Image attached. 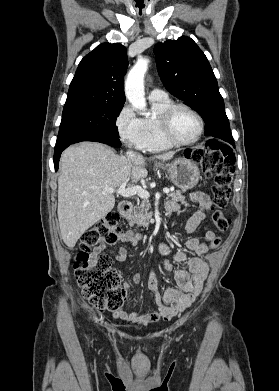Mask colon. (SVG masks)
I'll list each match as a JSON object with an SVG mask.
<instances>
[{"instance_id": "1", "label": "colon", "mask_w": 279, "mask_h": 391, "mask_svg": "<svg viewBox=\"0 0 279 391\" xmlns=\"http://www.w3.org/2000/svg\"><path fill=\"white\" fill-rule=\"evenodd\" d=\"M190 156L206 176L214 177L212 197L215 207L212 220L219 232L226 233L230 220L224 216L223 210L231 195L234 153L229 146L209 140L202 147L191 151ZM120 234L119 214L115 211L109 212L82 235L74 259V272L82 294L98 309H119L125 299V290L119 274L112 267L111 258L106 254L94 256L91 249L116 242ZM220 244L221 239L216 236L211 240L210 248H217Z\"/></svg>"}]
</instances>
